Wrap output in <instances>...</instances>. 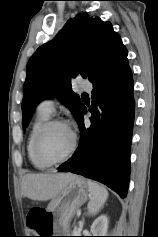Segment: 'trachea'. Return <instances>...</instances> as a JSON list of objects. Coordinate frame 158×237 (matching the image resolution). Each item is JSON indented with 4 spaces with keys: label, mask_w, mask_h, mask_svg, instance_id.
<instances>
[{
    "label": "trachea",
    "mask_w": 158,
    "mask_h": 237,
    "mask_svg": "<svg viewBox=\"0 0 158 237\" xmlns=\"http://www.w3.org/2000/svg\"><path fill=\"white\" fill-rule=\"evenodd\" d=\"M82 96H83V97H87L88 94H87V93H83Z\"/></svg>",
    "instance_id": "1"
}]
</instances>
